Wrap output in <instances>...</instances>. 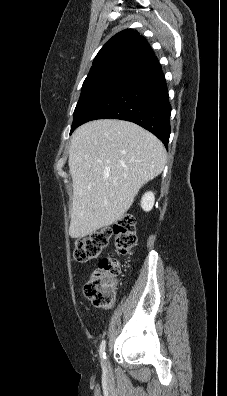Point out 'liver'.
Segmentation results:
<instances>
[{
  "label": "liver",
  "instance_id": "6515ba94",
  "mask_svg": "<svg viewBox=\"0 0 227 396\" xmlns=\"http://www.w3.org/2000/svg\"><path fill=\"white\" fill-rule=\"evenodd\" d=\"M68 162L73 186L69 235L83 238L123 217L139 189L164 169L166 150L134 123L101 119L75 130Z\"/></svg>",
  "mask_w": 227,
  "mask_h": 396
}]
</instances>
